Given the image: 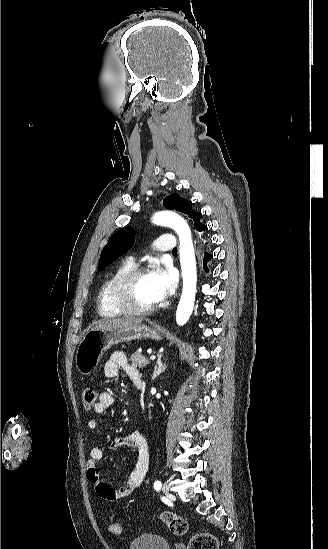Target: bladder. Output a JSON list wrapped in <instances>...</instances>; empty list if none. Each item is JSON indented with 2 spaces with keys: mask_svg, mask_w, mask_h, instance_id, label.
Listing matches in <instances>:
<instances>
[{
  "mask_svg": "<svg viewBox=\"0 0 328 549\" xmlns=\"http://www.w3.org/2000/svg\"><path fill=\"white\" fill-rule=\"evenodd\" d=\"M133 549H171L170 543L160 536L140 535L132 544Z\"/></svg>",
  "mask_w": 328,
  "mask_h": 549,
  "instance_id": "1",
  "label": "bladder"
}]
</instances>
